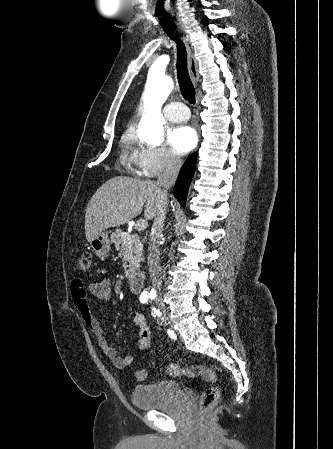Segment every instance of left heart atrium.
<instances>
[{
	"label": "left heart atrium",
	"instance_id": "left-heart-atrium-1",
	"mask_svg": "<svg viewBox=\"0 0 333 449\" xmlns=\"http://www.w3.org/2000/svg\"><path fill=\"white\" fill-rule=\"evenodd\" d=\"M168 141L174 152L182 155L194 148L197 143V134L192 127L180 125L170 131Z\"/></svg>",
	"mask_w": 333,
	"mask_h": 449
}]
</instances>
